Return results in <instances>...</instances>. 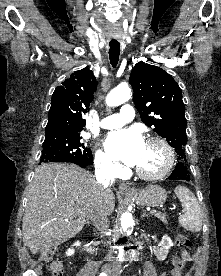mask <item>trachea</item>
I'll return each instance as SVG.
<instances>
[{
  "label": "trachea",
  "instance_id": "3493384b",
  "mask_svg": "<svg viewBox=\"0 0 221 276\" xmlns=\"http://www.w3.org/2000/svg\"><path fill=\"white\" fill-rule=\"evenodd\" d=\"M109 58L113 67L118 64L119 55H120V43L117 41H111L109 43Z\"/></svg>",
  "mask_w": 221,
  "mask_h": 276
}]
</instances>
